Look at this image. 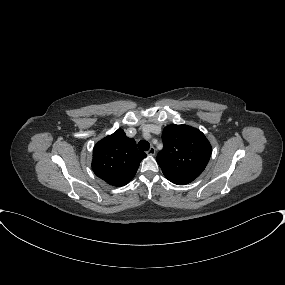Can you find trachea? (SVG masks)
Returning a JSON list of instances; mask_svg holds the SVG:
<instances>
[{"instance_id": "1", "label": "trachea", "mask_w": 285, "mask_h": 285, "mask_svg": "<svg viewBox=\"0 0 285 285\" xmlns=\"http://www.w3.org/2000/svg\"><path fill=\"white\" fill-rule=\"evenodd\" d=\"M138 148L142 151H148L149 148H150V144L148 141H145V140H141L139 141L138 143Z\"/></svg>"}]
</instances>
